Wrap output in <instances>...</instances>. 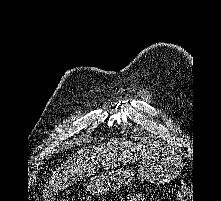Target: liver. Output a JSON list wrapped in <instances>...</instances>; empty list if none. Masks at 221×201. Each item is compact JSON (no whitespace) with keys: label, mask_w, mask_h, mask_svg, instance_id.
Returning a JSON list of instances; mask_svg holds the SVG:
<instances>
[{"label":"liver","mask_w":221,"mask_h":201,"mask_svg":"<svg viewBox=\"0 0 221 201\" xmlns=\"http://www.w3.org/2000/svg\"><path fill=\"white\" fill-rule=\"evenodd\" d=\"M151 143H133L125 139H112L106 143L79 150L61 164L53 174L49 191L57 192L95 173L98 162L105 168H114L138 160L154 151Z\"/></svg>","instance_id":"obj_1"}]
</instances>
